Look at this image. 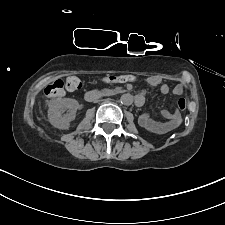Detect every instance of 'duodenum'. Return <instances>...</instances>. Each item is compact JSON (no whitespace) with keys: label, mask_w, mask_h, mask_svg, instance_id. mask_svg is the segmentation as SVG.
Here are the masks:
<instances>
[{"label":"duodenum","mask_w":225,"mask_h":225,"mask_svg":"<svg viewBox=\"0 0 225 225\" xmlns=\"http://www.w3.org/2000/svg\"><path fill=\"white\" fill-rule=\"evenodd\" d=\"M104 96L103 92L100 91H95V90H90L85 93V99L89 102L98 100ZM135 104L140 106L143 104V98L140 96H135Z\"/></svg>","instance_id":"duodenum-1"}]
</instances>
